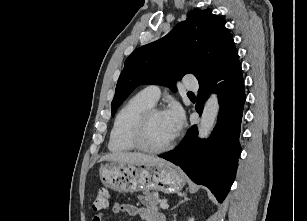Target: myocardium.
<instances>
[{
  "instance_id": "f54148a6",
  "label": "myocardium",
  "mask_w": 307,
  "mask_h": 221,
  "mask_svg": "<svg viewBox=\"0 0 307 221\" xmlns=\"http://www.w3.org/2000/svg\"><path fill=\"white\" fill-rule=\"evenodd\" d=\"M163 112H164L163 109L153 106V107L146 109L138 117L133 127V131L131 135L132 142L137 149L143 152L151 153V154H158V153H163L169 150L170 148H172L176 140V135L173 136L170 141H168L166 144L160 147L150 146L146 142V134H147L148 126H149V123L152 117L157 113H163Z\"/></svg>"
}]
</instances>
